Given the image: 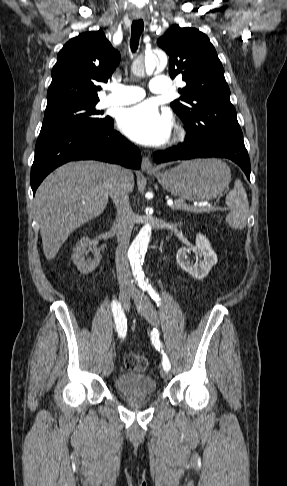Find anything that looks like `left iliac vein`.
<instances>
[{
    "label": "left iliac vein",
    "instance_id": "obj_1",
    "mask_svg": "<svg viewBox=\"0 0 287 486\" xmlns=\"http://www.w3.org/2000/svg\"><path fill=\"white\" fill-rule=\"evenodd\" d=\"M133 300L136 305L138 312L153 326L158 327L159 319L157 312L152 305L151 301L145 295H142L138 292L133 293ZM161 376L164 380H168L171 378V373L169 370H162Z\"/></svg>",
    "mask_w": 287,
    "mask_h": 486
}]
</instances>
